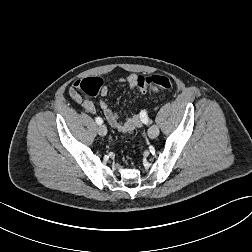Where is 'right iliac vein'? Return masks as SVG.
I'll use <instances>...</instances> for the list:
<instances>
[{"instance_id": "1", "label": "right iliac vein", "mask_w": 252, "mask_h": 252, "mask_svg": "<svg viewBox=\"0 0 252 252\" xmlns=\"http://www.w3.org/2000/svg\"><path fill=\"white\" fill-rule=\"evenodd\" d=\"M97 131L101 136H105L107 134V128L104 125L100 126Z\"/></svg>"}]
</instances>
